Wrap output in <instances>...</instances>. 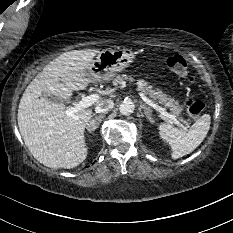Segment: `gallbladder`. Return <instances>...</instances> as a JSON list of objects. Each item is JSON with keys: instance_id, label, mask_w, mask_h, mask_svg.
I'll list each match as a JSON object with an SVG mask.
<instances>
[{"instance_id": "bac80fb5", "label": "gallbladder", "mask_w": 233, "mask_h": 233, "mask_svg": "<svg viewBox=\"0 0 233 233\" xmlns=\"http://www.w3.org/2000/svg\"><path fill=\"white\" fill-rule=\"evenodd\" d=\"M43 97L46 98V99H49L50 101L55 102V103H60L61 102V99L59 97H56V96L44 95Z\"/></svg>"}]
</instances>
